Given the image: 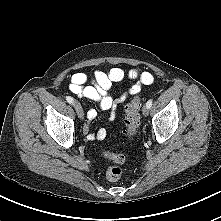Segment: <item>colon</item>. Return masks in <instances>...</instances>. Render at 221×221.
<instances>
[{
    "mask_svg": "<svg viewBox=\"0 0 221 221\" xmlns=\"http://www.w3.org/2000/svg\"><path fill=\"white\" fill-rule=\"evenodd\" d=\"M142 99L140 97L134 98L125 107V135L128 138H133L140 125V108ZM101 155L112 162L106 170V177L110 181H117L122 174L121 165L124 163V156L122 154L113 153L109 150H102Z\"/></svg>",
    "mask_w": 221,
    "mask_h": 221,
    "instance_id": "obj_1",
    "label": "colon"
}]
</instances>
